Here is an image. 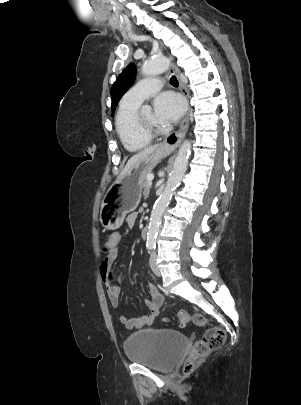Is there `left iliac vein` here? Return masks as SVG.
<instances>
[{"instance_id": "left-iliac-vein-1", "label": "left iliac vein", "mask_w": 301, "mask_h": 405, "mask_svg": "<svg viewBox=\"0 0 301 405\" xmlns=\"http://www.w3.org/2000/svg\"><path fill=\"white\" fill-rule=\"evenodd\" d=\"M150 266H151V269H152V271H153V273L155 275H157V276L161 275L160 270H159L158 265H157V262H156V254L155 253L151 254Z\"/></svg>"}]
</instances>
